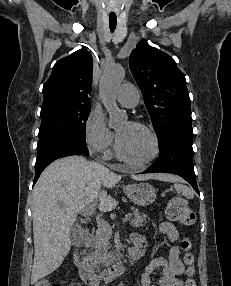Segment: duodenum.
I'll return each instance as SVG.
<instances>
[{"instance_id": "obj_1", "label": "duodenum", "mask_w": 231, "mask_h": 286, "mask_svg": "<svg viewBox=\"0 0 231 286\" xmlns=\"http://www.w3.org/2000/svg\"><path fill=\"white\" fill-rule=\"evenodd\" d=\"M90 239L91 234L89 232L83 233L75 243L73 254L74 263L79 269L82 280L90 286H94L100 281L110 282L124 274L144 253L145 245L140 242L136 247L130 249L124 257L117 260L103 271L97 272L88 264L84 257V253L90 243Z\"/></svg>"}]
</instances>
